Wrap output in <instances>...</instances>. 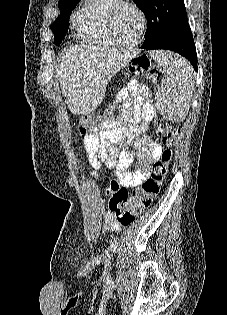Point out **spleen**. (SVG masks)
I'll use <instances>...</instances> for the list:
<instances>
[{
    "instance_id": "3e777b00",
    "label": "spleen",
    "mask_w": 227,
    "mask_h": 315,
    "mask_svg": "<svg viewBox=\"0 0 227 315\" xmlns=\"http://www.w3.org/2000/svg\"><path fill=\"white\" fill-rule=\"evenodd\" d=\"M154 60L163 68L164 78L156 95L160 113L170 120L183 121L193 92V71L188 62L173 53L154 51Z\"/></svg>"
}]
</instances>
